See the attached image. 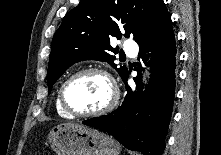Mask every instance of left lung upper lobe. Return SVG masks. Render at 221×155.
I'll list each match as a JSON object with an SVG mask.
<instances>
[{
    "label": "left lung upper lobe",
    "instance_id": "left-lung-upper-lobe-1",
    "mask_svg": "<svg viewBox=\"0 0 221 155\" xmlns=\"http://www.w3.org/2000/svg\"><path fill=\"white\" fill-rule=\"evenodd\" d=\"M163 0H81L68 12L56 31L48 64L49 93L53 84L75 62L94 59L108 61L114 68L117 53L110 38L132 36L136 41ZM122 79L125 66L116 68Z\"/></svg>",
    "mask_w": 221,
    "mask_h": 155
}]
</instances>
